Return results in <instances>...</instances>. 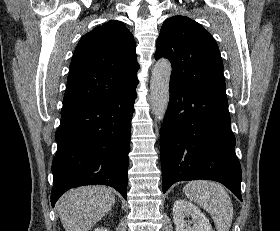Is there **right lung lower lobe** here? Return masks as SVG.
I'll use <instances>...</instances> for the list:
<instances>
[{"label": "right lung lower lobe", "instance_id": "obj_1", "mask_svg": "<svg viewBox=\"0 0 280 231\" xmlns=\"http://www.w3.org/2000/svg\"><path fill=\"white\" fill-rule=\"evenodd\" d=\"M136 91L64 111L55 139L51 204L68 189L104 184L126 199Z\"/></svg>", "mask_w": 280, "mask_h": 231}]
</instances>
